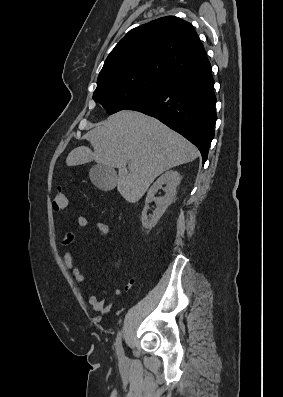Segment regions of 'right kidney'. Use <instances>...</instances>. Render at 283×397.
<instances>
[{"label": "right kidney", "mask_w": 283, "mask_h": 397, "mask_svg": "<svg viewBox=\"0 0 283 397\" xmlns=\"http://www.w3.org/2000/svg\"><path fill=\"white\" fill-rule=\"evenodd\" d=\"M180 180V174L177 171L170 170L162 174L150 187L147 192L146 201L147 203L154 201L156 208L151 216L147 215L148 206H145L143 209L141 221L144 229L151 230L157 224L167 207L174 200ZM164 184L166 185V187L163 188L165 195L160 198H155V194Z\"/></svg>", "instance_id": "ca27d5eb"}]
</instances>
